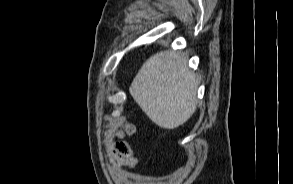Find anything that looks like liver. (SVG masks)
Returning a JSON list of instances; mask_svg holds the SVG:
<instances>
[{
    "mask_svg": "<svg viewBox=\"0 0 293 184\" xmlns=\"http://www.w3.org/2000/svg\"><path fill=\"white\" fill-rule=\"evenodd\" d=\"M180 52L161 51L140 68L130 93L142 111L161 128L175 129L196 111L198 81Z\"/></svg>",
    "mask_w": 293,
    "mask_h": 184,
    "instance_id": "1",
    "label": "liver"
}]
</instances>
